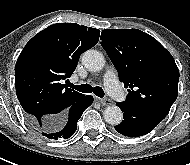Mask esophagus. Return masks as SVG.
Segmentation results:
<instances>
[{
  "label": "esophagus",
  "instance_id": "1",
  "mask_svg": "<svg viewBox=\"0 0 190 165\" xmlns=\"http://www.w3.org/2000/svg\"><path fill=\"white\" fill-rule=\"evenodd\" d=\"M103 106H109L112 104V101L109 98H98L97 99Z\"/></svg>",
  "mask_w": 190,
  "mask_h": 165
}]
</instances>
